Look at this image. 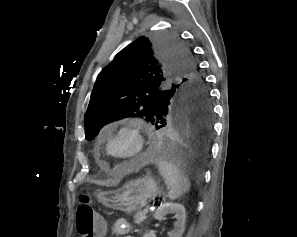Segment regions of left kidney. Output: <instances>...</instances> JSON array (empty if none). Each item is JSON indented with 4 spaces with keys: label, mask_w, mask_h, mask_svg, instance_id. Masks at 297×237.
Here are the masks:
<instances>
[{
    "label": "left kidney",
    "mask_w": 297,
    "mask_h": 237,
    "mask_svg": "<svg viewBox=\"0 0 297 237\" xmlns=\"http://www.w3.org/2000/svg\"><path fill=\"white\" fill-rule=\"evenodd\" d=\"M175 214L174 229L168 233L169 237H182L185 230L186 211L182 204L179 203H164L159 206L154 214L156 220L162 219L167 214ZM143 237H153V234L146 233Z\"/></svg>",
    "instance_id": "obj_1"
}]
</instances>
